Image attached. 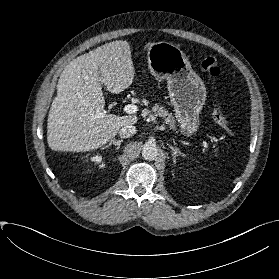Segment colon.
<instances>
[{"label":"colon","mask_w":279,"mask_h":279,"mask_svg":"<svg viewBox=\"0 0 279 279\" xmlns=\"http://www.w3.org/2000/svg\"><path fill=\"white\" fill-rule=\"evenodd\" d=\"M201 69L210 76H218L221 72L217 59L214 56L207 55L201 62ZM213 116L216 123L225 131V133L231 135L232 130L229 126V122L225 116L223 109L220 106H215L213 109Z\"/></svg>","instance_id":"1"}]
</instances>
